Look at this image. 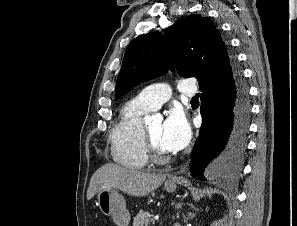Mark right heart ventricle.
Wrapping results in <instances>:
<instances>
[{"instance_id": "e07e8e85", "label": "right heart ventricle", "mask_w": 297, "mask_h": 226, "mask_svg": "<svg viewBox=\"0 0 297 226\" xmlns=\"http://www.w3.org/2000/svg\"><path fill=\"white\" fill-rule=\"evenodd\" d=\"M151 111L137 98L125 103L110 132L113 160L127 168L146 167L149 156L144 144L142 117Z\"/></svg>"}]
</instances>
